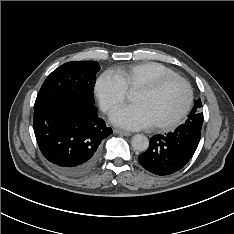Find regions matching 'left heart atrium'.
I'll use <instances>...</instances> for the list:
<instances>
[{
	"label": "left heart atrium",
	"mask_w": 234,
	"mask_h": 234,
	"mask_svg": "<svg viewBox=\"0 0 234 234\" xmlns=\"http://www.w3.org/2000/svg\"><path fill=\"white\" fill-rule=\"evenodd\" d=\"M111 120L116 125L128 129H141L152 125L149 116L138 104L115 110L111 114Z\"/></svg>",
	"instance_id": "39dd6f15"
}]
</instances>
